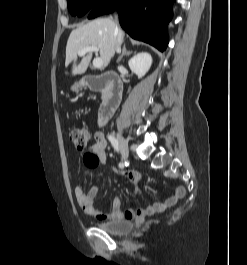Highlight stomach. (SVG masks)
I'll use <instances>...</instances> for the list:
<instances>
[{"label":"stomach","mask_w":247,"mask_h":265,"mask_svg":"<svg viewBox=\"0 0 247 265\" xmlns=\"http://www.w3.org/2000/svg\"><path fill=\"white\" fill-rule=\"evenodd\" d=\"M82 87H83V84L81 82H77L72 85L71 90L77 93Z\"/></svg>","instance_id":"1"}]
</instances>
